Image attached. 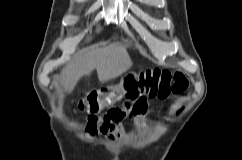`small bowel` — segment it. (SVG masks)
Segmentation results:
<instances>
[{
	"label": "small bowel",
	"mask_w": 242,
	"mask_h": 160,
	"mask_svg": "<svg viewBox=\"0 0 242 160\" xmlns=\"http://www.w3.org/2000/svg\"><path fill=\"white\" fill-rule=\"evenodd\" d=\"M140 103V102H139ZM126 111L124 108H121V118L119 121L117 122H111V123H105L102 126V131L105 133L106 137L110 140V141H115L117 140L120 135L122 134V126L120 124V121L124 118V116L126 115ZM135 119L136 124H143L144 123V119L143 117H133Z\"/></svg>",
	"instance_id": "obj_1"
}]
</instances>
